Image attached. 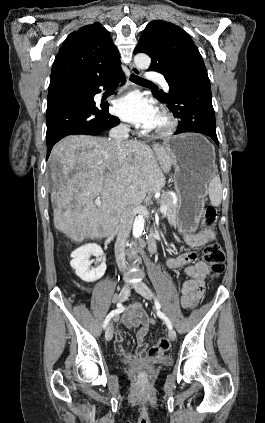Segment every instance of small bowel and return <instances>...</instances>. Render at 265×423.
Segmentation results:
<instances>
[{"instance_id":"obj_1","label":"small bowel","mask_w":265,"mask_h":423,"mask_svg":"<svg viewBox=\"0 0 265 423\" xmlns=\"http://www.w3.org/2000/svg\"><path fill=\"white\" fill-rule=\"evenodd\" d=\"M180 238L189 247L196 248L207 241L215 240L216 234L213 230L204 229L197 233H183ZM196 256L195 252L190 251L178 256L169 257L166 261L169 269L176 270L184 267V271L189 277L183 283L180 291V303L186 309H192L197 305L205 289V278L208 273V267L203 261H196ZM122 321L128 328H139L137 339L141 343V346L134 354L126 351L123 347L124 336L122 332H117L115 338L116 352L127 361H133L142 357L145 353L143 342L152 320L140 304H135L123 312Z\"/></svg>"}]
</instances>
